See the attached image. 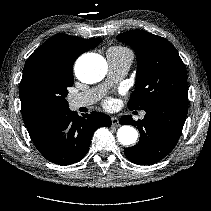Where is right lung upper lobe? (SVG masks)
I'll use <instances>...</instances> for the list:
<instances>
[{
    "mask_svg": "<svg viewBox=\"0 0 211 211\" xmlns=\"http://www.w3.org/2000/svg\"><path fill=\"white\" fill-rule=\"evenodd\" d=\"M100 42V38L83 39L67 34L52 36L28 58L20 84H22L29 70L36 64H45L62 77L73 79V64L77 57L96 47ZM19 97L23 120L28 131L34 129L57 112L34 104L23 93L20 86Z\"/></svg>",
    "mask_w": 211,
    "mask_h": 211,
    "instance_id": "obj_1",
    "label": "right lung upper lobe"
}]
</instances>
